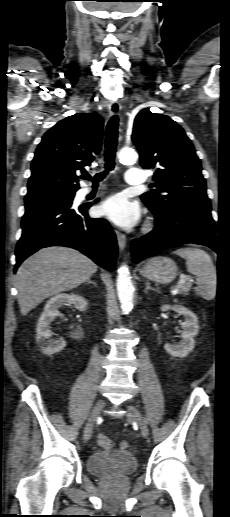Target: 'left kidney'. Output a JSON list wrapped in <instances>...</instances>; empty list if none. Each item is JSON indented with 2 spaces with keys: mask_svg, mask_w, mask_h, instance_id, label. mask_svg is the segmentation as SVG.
Masks as SVG:
<instances>
[{
  "mask_svg": "<svg viewBox=\"0 0 230 517\" xmlns=\"http://www.w3.org/2000/svg\"><path fill=\"white\" fill-rule=\"evenodd\" d=\"M162 311L173 310L185 317V321L181 324L183 329L182 340L177 344L166 343L164 349L175 357H186L189 352L194 349V337L198 334L199 326L196 315L182 305H162Z\"/></svg>",
  "mask_w": 230,
  "mask_h": 517,
  "instance_id": "obj_1",
  "label": "left kidney"
}]
</instances>
